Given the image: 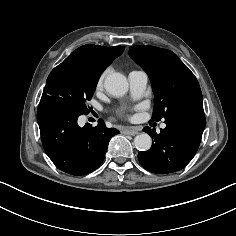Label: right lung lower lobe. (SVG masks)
I'll return each mask as SVG.
<instances>
[{"label":"right lung lower lobe","instance_id":"obj_1","mask_svg":"<svg viewBox=\"0 0 236 236\" xmlns=\"http://www.w3.org/2000/svg\"><path fill=\"white\" fill-rule=\"evenodd\" d=\"M64 98L48 95L41 98L37 119L42 143L54 165L71 175H85L103 162L111 137L119 132L106 128L103 121L96 127H79L81 115Z\"/></svg>","mask_w":236,"mask_h":236}]
</instances>
